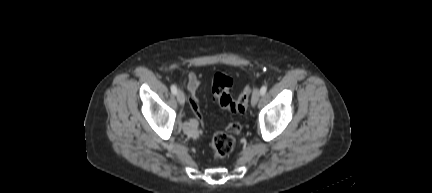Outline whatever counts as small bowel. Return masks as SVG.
<instances>
[{"label":"small bowel","mask_w":432,"mask_h":193,"mask_svg":"<svg viewBox=\"0 0 432 193\" xmlns=\"http://www.w3.org/2000/svg\"><path fill=\"white\" fill-rule=\"evenodd\" d=\"M199 85H200V78L196 73L191 72L188 75L187 90L190 94V100H189L190 108L197 117L201 116L199 99L197 97V91ZM226 130L231 133H238L241 130V125L238 122H232L227 126Z\"/></svg>","instance_id":"obj_1"}]
</instances>
